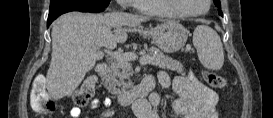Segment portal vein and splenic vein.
Masks as SVG:
<instances>
[{"label":"portal vein and splenic vein","instance_id":"obj_1","mask_svg":"<svg viewBox=\"0 0 273 118\" xmlns=\"http://www.w3.org/2000/svg\"><path fill=\"white\" fill-rule=\"evenodd\" d=\"M107 52L113 56L114 58L120 59V60H127V61H134L138 58L137 54L133 53V52H127V53H122L119 51H113V48L110 47L108 48ZM151 58L150 56H142L140 58V63L141 64H146V63H150Z\"/></svg>","mask_w":273,"mask_h":118}]
</instances>
